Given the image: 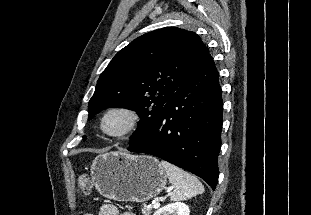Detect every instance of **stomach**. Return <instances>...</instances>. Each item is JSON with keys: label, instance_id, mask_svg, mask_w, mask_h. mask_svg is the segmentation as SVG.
<instances>
[{"label": "stomach", "instance_id": "1", "mask_svg": "<svg viewBox=\"0 0 311 215\" xmlns=\"http://www.w3.org/2000/svg\"><path fill=\"white\" fill-rule=\"evenodd\" d=\"M91 178L105 198L119 202H146L162 192L167 176L160 162L147 155L108 152L95 158Z\"/></svg>", "mask_w": 311, "mask_h": 215}]
</instances>
